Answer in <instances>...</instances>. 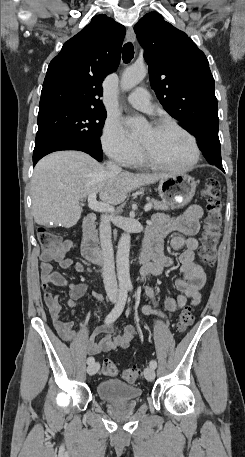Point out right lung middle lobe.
Masks as SVG:
<instances>
[{
    "mask_svg": "<svg viewBox=\"0 0 245 457\" xmlns=\"http://www.w3.org/2000/svg\"><path fill=\"white\" fill-rule=\"evenodd\" d=\"M104 108L70 104L38 113L35 148L54 142L80 145L86 153L101 161V130L106 119Z\"/></svg>",
    "mask_w": 245,
    "mask_h": 457,
    "instance_id": "dd1d6c3e",
    "label": "right lung middle lobe"
}]
</instances>
